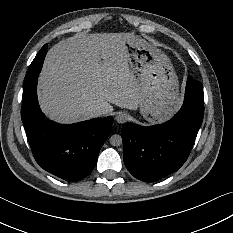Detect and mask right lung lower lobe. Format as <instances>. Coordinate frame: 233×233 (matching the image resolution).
<instances>
[{"label": "right lung lower lobe", "mask_w": 233, "mask_h": 233, "mask_svg": "<svg viewBox=\"0 0 233 233\" xmlns=\"http://www.w3.org/2000/svg\"><path fill=\"white\" fill-rule=\"evenodd\" d=\"M47 44L38 52L41 67ZM37 56V55H36ZM39 74V73H38ZM24 86L21 118L36 162L44 170L70 182L80 181L96 165L100 148L110 134L113 118L62 125L48 120L37 100V77Z\"/></svg>", "instance_id": "98d812e1"}]
</instances>
